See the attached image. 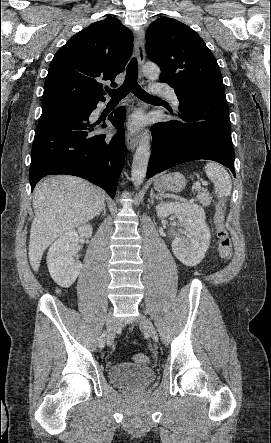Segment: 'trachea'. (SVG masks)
<instances>
[{"mask_svg":"<svg viewBox=\"0 0 271 443\" xmlns=\"http://www.w3.org/2000/svg\"><path fill=\"white\" fill-rule=\"evenodd\" d=\"M137 71H138L137 59L134 58L129 62L127 66L126 78L121 87L117 88L116 90L108 91L111 100H121L122 98L126 97V95L129 92H132L136 97L140 98L141 100L145 101L161 100L158 97H153L152 95H149V93L145 92V90H143L140 87L137 81Z\"/></svg>","mask_w":271,"mask_h":443,"instance_id":"1","label":"trachea"}]
</instances>
